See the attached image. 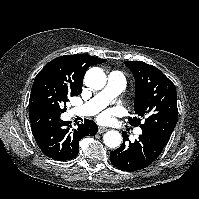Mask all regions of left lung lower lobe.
I'll return each mask as SVG.
<instances>
[{
  "label": "left lung lower lobe",
  "instance_id": "0a47b994",
  "mask_svg": "<svg viewBox=\"0 0 199 199\" xmlns=\"http://www.w3.org/2000/svg\"><path fill=\"white\" fill-rule=\"evenodd\" d=\"M122 145L110 153V161L124 171H137L149 166L162 152L168 141L152 133L142 132L138 140L125 145L128 135L124 132Z\"/></svg>",
  "mask_w": 199,
  "mask_h": 199
}]
</instances>
